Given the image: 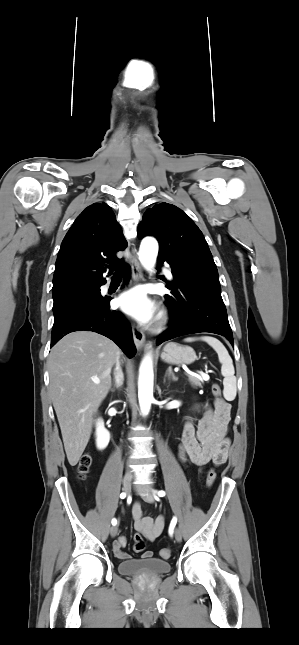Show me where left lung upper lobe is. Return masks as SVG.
<instances>
[{"label": "left lung upper lobe", "instance_id": "1", "mask_svg": "<svg viewBox=\"0 0 299 645\" xmlns=\"http://www.w3.org/2000/svg\"><path fill=\"white\" fill-rule=\"evenodd\" d=\"M145 236H154L159 241L158 260L217 271L202 232L175 205L163 202L146 210L138 228V238Z\"/></svg>", "mask_w": 299, "mask_h": 645}]
</instances>
